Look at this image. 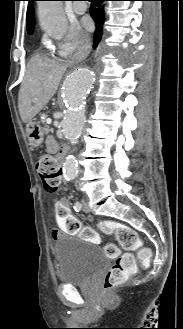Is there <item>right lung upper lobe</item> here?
Listing matches in <instances>:
<instances>
[{
  "instance_id": "cb5924a9",
  "label": "right lung upper lobe",
  "mask_w": 183,
  "mask_h": 329,
  "mask_svg": "<svg viewBox=\"0 0 183 329\" xmlns=\"http://www.w3.org/2000/svg\"><path fill=\"white\" fill-rule=\"evenodd\" d=\"M32 1H35V0H29V6H28V11H27V30H28V33H33V29H34V9H33V6H32Z\"/></svg>"
}]
</instances>
